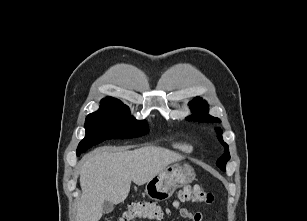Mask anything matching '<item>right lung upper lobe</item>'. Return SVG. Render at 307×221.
Returning <instances> with one entry per match:
<instances>
[{"label": "right lung upper lobe", "mask_w": 307, "mask_h": 221, "mask_svg": "<svg viewBox=\"0 0 307 221\" xmlns=\"http://www.w3.org/2000/svg\"><path fill=\"white\" fill-rule=\"evenodd\" d=\"M101 103H114V104H122V102L113 97H106L101 100Z\"/></svg>", "instance_id": "obj_1"}]
</instances>
